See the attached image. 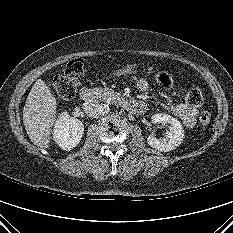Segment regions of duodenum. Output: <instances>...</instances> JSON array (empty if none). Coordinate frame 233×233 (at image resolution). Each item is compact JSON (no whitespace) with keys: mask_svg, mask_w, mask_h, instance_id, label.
I'll list each match as a JSON object with an SVG mask.
<instances>
[{"mask_svg":"<svg viewBox=\"0 0 233 233\" xmlns=\"http://www.w3.org/2000/svg\"><path fill=\"white\" fill-rule=\"evenodd\" d=\"M97 97V92L90 88H84L80 91V99L85 102H91ZM122 106L131 113H140L144 107L141 103L134 100L125 99L122 101Z\"/></svg>","mask_w":233,"mask_h":233,"instance_id":"obj_1","label":"duodenum"}]
</instances>
